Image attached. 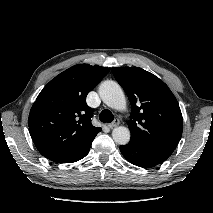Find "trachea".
<instances>
[{"mask_svg": "<svg viewBox=\"0 0 213 213\" xmlns=\"http://www.w3.org/2000/svg\"><path fill=\"white\" fill-rule=\"evenodd\" d=\"M99 119L103 123H111L114 120V115L110 110L105 109L100 113Z\"/></svg>", "mask_w": 213, "mask_h": 213, "instance_id": "3493384b", "label": "trachea"}]
</instances>
